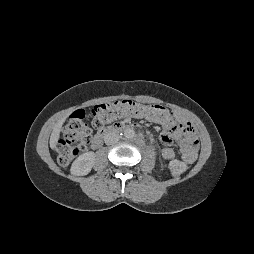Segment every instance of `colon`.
Here are the masks:
<instances>
[{
  "instance_id": "colon-1",
  "label": "colon",
  "mask_w": 254,
  "mask_h": 254,
  "mask_svg": "<svg viewBox=\"0 0 254 254\" xmlns=\"http://www.w3.org/2000/svg\"><path fill=\"white\" fill-rule=\"evenodd\" d=\"M170 111L158 104H143L124 99L112 103L98 104L91 110L92 126L96 130L114 124L124 116L145 118L152 121L168 119ZM91 135V128L86 121V115L78 111L71 115L62 129V136L57 144L58 161L66 165L79 154ZM189 169V165L179 160L168 164V172L181 175Z\"/></svg>"
}]
</instances>
